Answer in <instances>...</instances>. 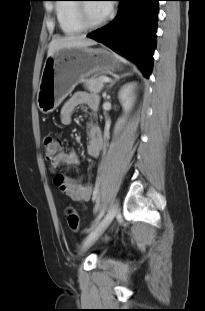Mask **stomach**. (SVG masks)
Masks as SVG:
<instances>
[{"instance_id":"0dacf381","label":"stomach","mask_w":205,"mask_h":311,"mask_svg":"<svg viewBox=\"0 0 205 311\" xmlns=\"http://www.w3.org/2000/svg\"><path fill=\"white\" fill-rule=\"evenodd\" d=\"M121 67V59L103 48L61 49L45 61L37 92L38 108L43 113H51L87 77Z\"/></svg>"}]
</instances>
